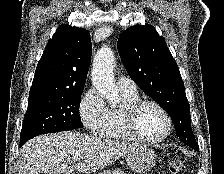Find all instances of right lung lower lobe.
<instances>
[{"mask_svg":"<svg viewBox=\"0 0 224 174\" xmlns=\"http://www.w3.org/2000/svg\"><path fill=\"white\" fill-rule=\"evenodd\" d=\"M26 141H20V145L22 146Z\"/></svg>","mask_w":224,"mask_h":174,"instance_id":"right-lung-lower-lobe-1","label":"right lung lower lobe"}]
</instances>
